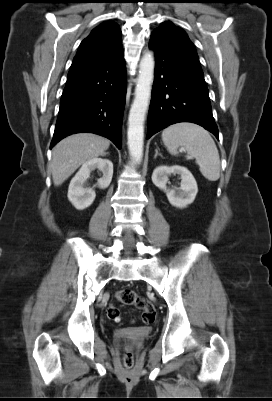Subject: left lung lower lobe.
Masks as SVG:
<instances>
[{
	"label": "left lung lower lobe",
	"mask_w": 272,
	"mask_h": 401,
	"mask_svg": "<svg viewBox=\"0 0 272 401\" xmlns=\"http://www.w3.org/2000/svg\"><path fill=\"white\" fill-rule=\"evenodd\" d=\"M149 46L155 50L157 65L147 139L179 122L196 123L219 139L199 58L174 47L156 32H152Z\"/></svg>",
	"instance_id": "left-lung-lower-lobe-1"
}]
</instances>
